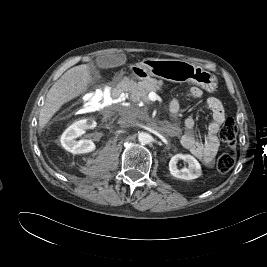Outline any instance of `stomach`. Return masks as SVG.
Here are the masks:
<instances>
[{
	"mask_svg": "<svg viewBox=\"0 0 267 267\" xmlns=\"http://www.w3.org/2000/svg\"><path fill=\"white\" fill-rule=\"evenodd\" d=\"M135 67L138 69L135 76L141 80L154 76L173 82H189L208 92H213L217 87L214 74L184 60L148 58Z\"/></svg>",
	"mask_w": 267,
	"mask_h": 267,
	"instance_id": "1",
	"label": "stomach"
}]
</instances>
